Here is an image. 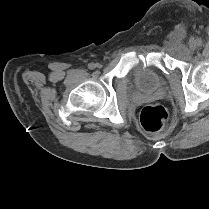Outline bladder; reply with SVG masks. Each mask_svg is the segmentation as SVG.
I'll return each instance as SVG.
<instances>
[{"mask_svg": "<svg viewBox=\"0 0 209 209\" xmlns=\"http://www.w3.org/2000/svg\"><path fill=\"white\" fill-rule=\"evenodd\" d=\"M135 84L146 94L155 93L161 85V76L151 67L139 68L135 71Z\"/></svg>", "mask_w": 209, "mask_h": 209, "instance_id": "bladder-1", "label": "bladder"}]
</instances>
